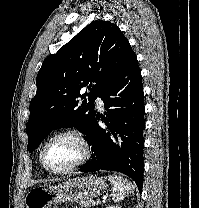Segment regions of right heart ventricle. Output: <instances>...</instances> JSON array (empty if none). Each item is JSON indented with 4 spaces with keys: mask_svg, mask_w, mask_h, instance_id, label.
<instances>
[{
    "mask_svg": "<svg viewBox=\"0 0 199 208\" xmlns=\"http://www.w3.org/2000/svg\"><path fill=\"white\" fill-rule=\"evenodd\" d=\"M39 161H40V163L42 164V161H41V152H40V154H39ZM43 165V164H42Z\"/></svg>",
    "mask_w": 199,
    "mask_h": 208,
    "instance_id": "1",
    "label": "right heart ventricle"
}]
</instances>
